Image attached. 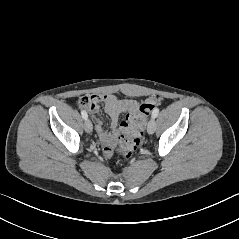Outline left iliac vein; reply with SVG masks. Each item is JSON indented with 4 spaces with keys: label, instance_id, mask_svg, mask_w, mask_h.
Masks as SVG:
<instances>
[{
    "label": "left iliac vein",
    "instance_id": "1",
    "mask_svg": "<svg viewBox=\"0 0 239 239\" xmlns=\"http://www.w3.org/2000/svg\"><path fill=\"white\" fill-rule=\"evenodd\" d=\"M155 129H156V121L154 117H151L147 125V132L149 134H153Z\"/></svg>",
    "mask_w": 239,
    "mask_h": 239
}]
</instances>
